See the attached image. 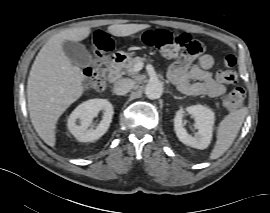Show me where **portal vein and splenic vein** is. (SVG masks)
<instances>
[{
    "label": "portal vein and splenic vein",
    "mask_w": 270,
    "mask_h": 213,
    "mask_svg": "<svg viewBox=\"0 0 270 213\" xmlns=\"http://www.w3.org/2000/svg\"><path fill=\"white\" fill-rule=\"evenodd\" d=\"M142 68H143V63H141V62L135 64V66H134V70L137 72L140 71Z\"/></svg>",
    "instance_id": "1"
}]
</instances>
